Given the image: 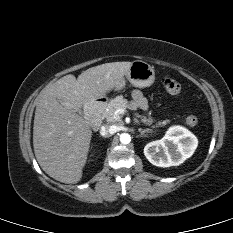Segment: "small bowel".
Returning a JSON list of instances; mask_svg holds the SVG:
<instances>
[{
  "label": "small bowel",
  "mask_w": 233,
  "mask_h": 233,
  "mask_svg": "<svg viewBox=\"0 0 233 233\" xmlns=\"http://www.w3.org/2000/svg\"><path fill=\"white\" fill-rule=\"evenodd\" d=\"M132 99L135 106H137L140 109H146L147 108V102L142 93L139 90H133L132 91Z\"/></svg>",
  "instance_id": "obj_1"
}]
</instances>
